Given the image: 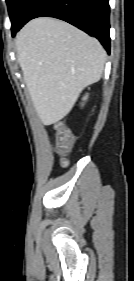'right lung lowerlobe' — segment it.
<instances>
[{"mask_svg": "<svg viewBox=\"0 0 134 281\" xmlns=\"http://www.w3.org/2000/svg\"><path fill=\"white\" fill-rule=\"evenodd\" d=\"M109 0H30L16 32L29 20L49 16L64 20L100 40L110 52Z\"/></svg>", "mask_w": 134, "mask_h": 281, "instance_id": "1", "label": "right lung lower lobe"}]
</instances>
